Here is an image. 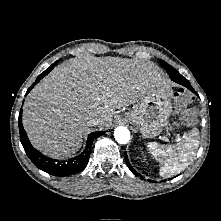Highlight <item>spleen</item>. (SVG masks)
<instances>
[{
    "label": "spleen",
    "mask_w": 221,
    "mask_h": 221,
    "mask_svg": "<svg viewBox=\"0 0 221 221\" xmlns=\"http://www.w3.org/2000/svg\"><path fill=\"white\" fill-rule=\"evenodd\" d=\"M199 146L198 131L193 129L179 143L163 146L149 142L147 147L153 158L161 164L160 176H173L183 171L193 160Z\"/></svg>",
    "instance_id": "spleen-1"
}]
</instances>
